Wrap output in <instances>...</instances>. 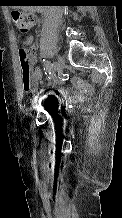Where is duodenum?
I'll return each mask as SVG.
<instances>
[{"mask_svg":"<svg viewBox=\"0 0 122 218\" xmlns=\"http://www.w3.org/2000/svg\"><path fill=\"white\" fill-rule=\"evenodd\" d=\"M32 10H33L34 12H40L41 8H39V7H33Z\"/></svg>","mask_w":122,"mask_h":218,"instance_id":"obj_1","label":"duodenum"}]
</instances>
